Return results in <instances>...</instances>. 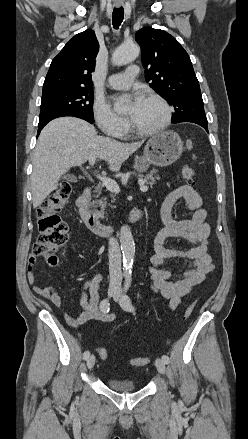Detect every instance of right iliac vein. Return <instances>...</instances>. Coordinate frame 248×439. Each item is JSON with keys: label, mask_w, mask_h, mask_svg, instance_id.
<instances>
[{"label": "right iliac vein", "mask_w": 248, "mask_h": 439, "mask_svg": "<svg viewBox=\"0 0 248 439\" xmlns=\"http://www.w3.org/2000/svg\"><path fill=\"white\" fill-rule=\"evenodd\" d=\"M108 293H109V296L114 297V296L117 294V291H116L115 288L111 287V288L109 289ZM95 360H96V358H95L94 355H91V356H89V357L87 358L86 363H87V368H88V369H92V368L94 367V365H95Z\"/></svg>", "instance_id": "1"}]
</instances>
